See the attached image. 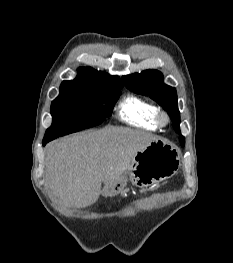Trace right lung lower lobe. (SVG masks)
<instances>
[{
	"label": "right lung lower lobe",
	"instance_id": "1",
	"mask_svg": "<svg viewBox=\"0 0 233 263\" xmlns=\"http://www.w3.org/2000/svg\"><path fill=\"white\" fill-rule=\"evenodd\" d=\"M50 140H43V146H45Z\"/></svg>",
	"mask_w": 233,
	"mask_h": 263
}]
</instances>
